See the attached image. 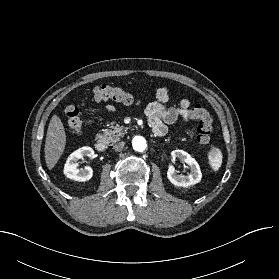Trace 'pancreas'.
<instances>
[{"label":"pancreas","mask_w":279,"mask_h":279,"mask_svg":"<svg viewBox=\"0 0 279 279\" xmlns=\"http://www.w3.org/2000/svg\"><path fill=\"white\" fill-rule=\"evenodd\" d=\"M124 135V127L116 125L113 129H105L103 131V135H100L107 143H115L120 140V138Z\"/></svg>","instance_id":"1"}]
</instances>
